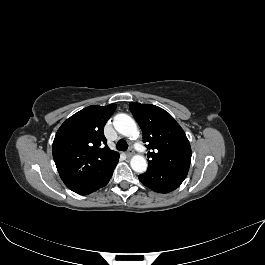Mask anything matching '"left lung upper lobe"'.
Segmentation results:
<instances>
[{
	"mask_svg": "<svg viewBox=\"0 0 265 265\" xmlns=\"http://www.w3.org/2000/svg\"><path fill=\"white\" fill-rule=\"evenodd\" d=\"M130 111L147 143L148 170L188 173L191 147L185 132L175 119L152 104L129 103Z\"/></svg>",
	"mask_w": 265,
	"mask_h": 265,
	"instance_id": "obj_1",
	"label": "left lung upper lobe"
}]
</instances>
